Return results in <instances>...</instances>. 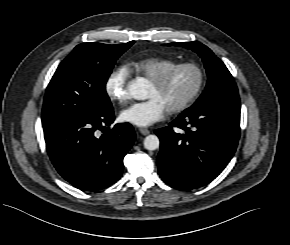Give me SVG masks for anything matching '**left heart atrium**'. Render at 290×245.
Returning a JSON list of instances; mask_svg holds the SVG:
<instances>
[{
    "mask_svg": "<svg viewBox=\"0 0 290 245\" xmlns=\"http://www.w3.org/2000/svg\"><path fill=\"white\" fill-rule=\"evenodd\" d=\"M166 112V107L153 97L125 109L121 113V118L131 124L146 127L162 120Z\"/></svg>",
    "mask_w": 290,
    "mask_h": 245,
    "instance_id": "left-heart-atrium-1",
    "label": "left heart atrium"
}]
</instances>
